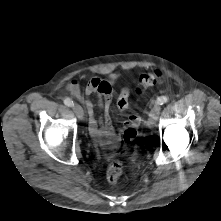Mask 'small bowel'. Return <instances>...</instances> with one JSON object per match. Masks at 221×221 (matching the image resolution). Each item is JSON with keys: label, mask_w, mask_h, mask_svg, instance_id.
<instances>
[{"label": "small bowel", "mask_w": 221, "mask_h": 221, "mask_svg": "<svg viewBox=\"0 0 221 221\" xmlns=\"http://www.w3.org/2000/svg\"><path fill=\"white\" fill-rule=\"evenodd\" d=\"M67 90L77 99L84 102L89 120V131L93 140L99 146L116 149L120 143L121 135L114 130L110 121L111 83L99 78H92L86 85L83 93L78 82L72 81L68 84ZM95 93L98 94V102L102 110L100 120L96 117L93 103L88 99L89 96ZM118 107L121 110H126L128 105L122 106L118 103ZM138 122V116L132 114L125 121L122 130H126L129 127H136Z\"/></svg>", "instance_id": "small-bowel-1"}]
</instances>
